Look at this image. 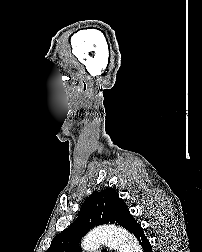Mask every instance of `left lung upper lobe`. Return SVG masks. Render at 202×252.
<instances>
[{
  "label": "left lung upper lobe",
  "mask_w": 202,
  "mask_h": 252,
  "mask_svg": "<svg viewBox=\"0 0 202 252\" xmlns=\"http://www.w3.org/2000/svg\"><path fill=\"white\" fill-rule=\"evenodd\" d=\"M109 223L120 225L128 231L137 223L113 188L90 195L77 219L54 237L47 252H81L79 243L82 237L93 227ZM102 252L107 250L103 249Z\"/></svg>",
  "instance_id": "obj_1"
}]
</instances>
